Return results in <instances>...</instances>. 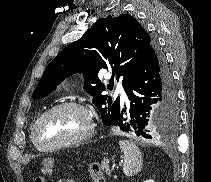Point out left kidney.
I'll return each instance as SVG.
<instances>
[{"instance_id": "5707ae66", "label": "left kidney", "mask_w": 211, "mask_h": 182, "mask_svg": "<svg viewBox=\"0 0 211 182\" xmlns=\"http://www.w3.org/2000/svg\"><path fill=\"white\" fill-rule=\"evenodd\" d=\"M144 182H155V181L152 180V179H148V180H146V181H144Z\"/></svg>"}]
</instances>
